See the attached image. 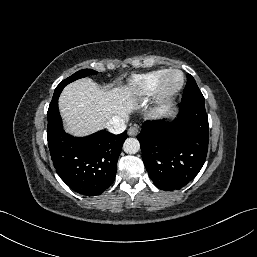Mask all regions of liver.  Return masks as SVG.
<instances>
[{
    "mask_svg": "<svg viewBox=\"0 0 257 257\" xmlns=\"http://www.w3.org/2000/svg\"><path fill=\"white\" fill-rule=\"evenodd\" d=\"M133 96L131 86L102 89L89 78L67 85L59 97L65 131L82 137L103 129L113 116L127 121L135 104Z\"/></svg>",
    "mask_w": 257,
    "mask_h": 257,
    "instance_id": "liver-1",
    "label": "liver"
}]
</instances>
